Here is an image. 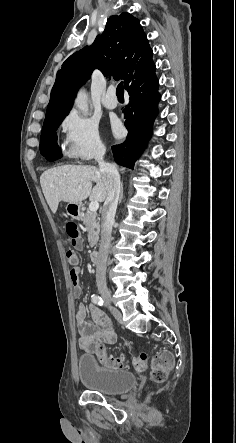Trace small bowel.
Wrapping results in <instances>:
<instances>
[{
    "label": "small bowel",
    "mask_w": 236,
    "mask_h": 443,
    "mask_svg": "<svg viewBox=\"0 0 236 443\" xmlns=\"http://www.w3.org/2000/svg\"><path fill=\"white\" fill-rule=\"evenodd\" d=\"M76 247L81 248L82 247V241L79 239L75 243ZM76 273L78 276L77 283H73V294L75 297H78L82 293V288L80 286L79 281V269H76ZM87 308L85 305L81 304L78 307L77 313H76V322L78 326V332L80 335V345L81 347L88 351L93 352L95 346L98 344L99 341H103L106 344H114L116 342V334L113 329L112 322L109 318V316L98 309L96 306L91 305L89 307L90 315L97 325L94 326L92 324H89L86 321V315H87Z\"/></svg>",
    "instance_id": "obj_1"
}]
</instances>
